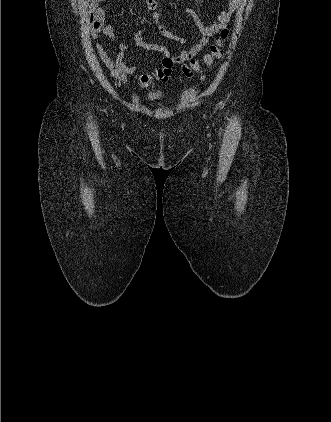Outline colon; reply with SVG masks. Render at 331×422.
<instances>
[{"instance_id": "1", "label": "colon", "mask_w": 331, "mask_h": 422, "mask_svg": "<svg viewBox=\"0 0 331 422\" xmlns=\"http://www.w3.org/2000/svg\"><path fill=\"white\" fill-rule=\"evenodd\" d=\"M97 0H88L90 7L92 8ZM101 1V0H100ZM229 38V30L223 29L220 34V38L212 45L209 52L203 57V62L206 65H211L215 60H218L222 56L223 48L225 47L226 41ZM200 70V64L198 61H190L183 66V76L186 79L192 78ZM152 85V83H150ZM149 85V86H150Z\"/></svg>"}]
</instances>
